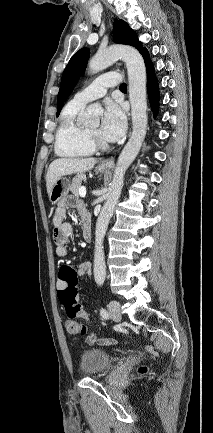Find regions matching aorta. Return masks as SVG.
Instances as JSON below:
<instances>
[{
    "mask_svg": "<svg viewBox=\"0 0 213 433\" xmlns=\"http://www.w3.org/2000/svg\"><path fill=\"white\" fill-rule=\"evenodd\" d=\"M118 59H122L126 63L127 67L129 100L131 103L132 116V134L118 157L113 180L107 194V200L96 223L94 279L100 286L104 283L106 277V265L103 250L104 236L123 188L125 172L139 153L145 139L148 122L146 68L143 57L135 48L129 46H112L104 51H99L89 61V71L91 74L98 73L112 65ZM100 112L101 108L97 106H89L82 118V122L89 123L94 121Z\"/></svg>",
    "mask_w": 213,
    "mask_h": 433,
    "instance_id": "aorta-1",
    "label": "aorta"
}]
</instances>
